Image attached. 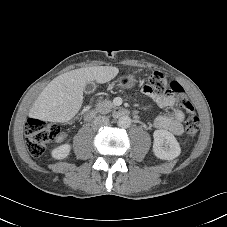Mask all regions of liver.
Returning a JSON list of instances; mask_svg holds the SVG:
<instances>
[{
  "label": "liver",
  "mask_w": 227,
  "mask_h": 227,
  "mask_svg": "<svg viewBox=\"0 0 227 227\" xmlns=\"http://www.w3.org/2000/svg\"><path fill=\"white\" fill-rule=\"evenodd\" d=\"M118 72L119 69L112 66H93L57 76L40 93L30 115L44 121L68 122L82 106L85 85L92 81L109 82Z\"/></svg>",
  "instance_id": "obj_1"
}]
</instances>
